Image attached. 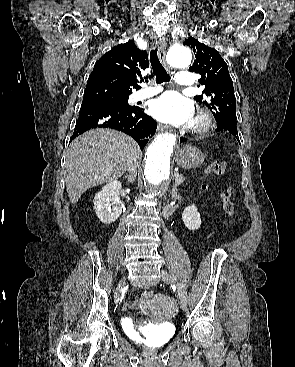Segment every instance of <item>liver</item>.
I'll return each mask as SVG.
<instances>
[{
  "label": "liver",
  "instance_id": "obj_1",
  "mask_svg": "<svg viewBox=\"0 0 295 367\" xmlns=\"http://www.w3.org/2000/svg\"><path fill=\"white\" fill-rule=\"evenodd\" d=\"M138 144L128 135L93 129L73 140L66 155L65 182L75 204L89 188L117 180L140 158Z\"/></svg>",
  "mask_w": 295,
  "mask_h": 367
}]
</instances>
